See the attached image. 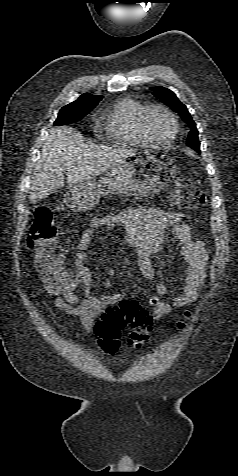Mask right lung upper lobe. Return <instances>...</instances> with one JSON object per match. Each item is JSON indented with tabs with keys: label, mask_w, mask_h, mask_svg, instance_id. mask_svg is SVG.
Returning <instances> with one entry per match:
<instances>
[{
	"label": "right lung upper lobe",
	"mask_w": 238,
	"mask_h": 476,
	"mask_svg": "<svg viewBox=\"0 0 238 476\" xmlns=\"http://www.w3.org/2000/svg\"><path fill=\"white\" fill-rule=\"evenodd\" d=\"M102 99V96L91 95L85 93L81 95L76 101L70 103L74 105H97L98 102Z\"/></svg>",
	"instance_id": "cb5924a9"
}]
</instances>
